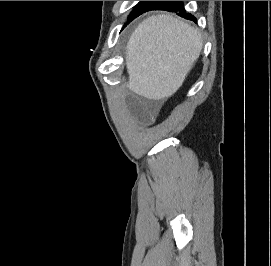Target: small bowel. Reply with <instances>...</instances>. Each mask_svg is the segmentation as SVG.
I'll return each instance as SVG.
<instances>
[{"label": "small bowel", "instance_id": "small-bowel-1", "mask_svg": "<svg viewBox=\"0 0 271 266\" xmlns=\"http://www.w3.org/2000/svg\"><path fill=\"white\" fill-rule=\"evenodd\" d=\"M131 106L133 110L144 120H151L158 108L156 102L132 103Z\"/></svg>", "mask_w": 271, "mask_h": 266}]
</instances>
